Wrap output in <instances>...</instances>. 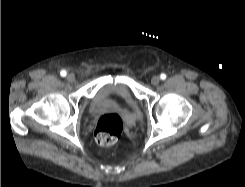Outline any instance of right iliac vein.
<instances>
[{
	"label": "right iliac vein",
	"instance_id": "63e3f726",
	"mask_svg": "<svg viewBox=\"0 0 245 187\" xmlns=\"http://www.w3.org/2000/svg\"><path fill=\"white\" fill-rule=\"evenodd\" d=\"M66 78H67V81L70 83H73L76 80V77L73 73H69Z\"/></svg>",
	"mask_w": 245,
	"mask_h": 187
}]
</instances>
